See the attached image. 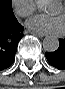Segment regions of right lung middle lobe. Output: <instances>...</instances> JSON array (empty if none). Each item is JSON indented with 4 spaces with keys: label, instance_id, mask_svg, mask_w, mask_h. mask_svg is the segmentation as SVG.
<instances>
[{
    "label": "right lung middle lobe",
    "instance_id": "1",
    "mask_svg": "<svg viewBox=\"0 0 65 89\" xmlns=\"http://www.w3.org/2000/svg\"><path fill=\"white\" fill-rule=\"evenodd\" d=\"M0 16L15 17L12 10V0H0Z\"/></svg>",
    "mask_w": 65,
    "mask_h": 89
}]
</instances>
